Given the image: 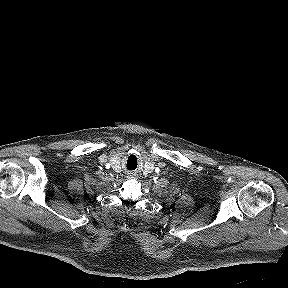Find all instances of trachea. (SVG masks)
Segmentation results:
<instances>
[{
    "instance_id": "3493384b",
    "label": "trachea",
    "mask_w": 288,
    "mask_h": 288,
    "mask_svg": "<svg viewBox=\"0 0 288 288\" xmlns=\"http://www.w3.org/2000/svg\"><path fill=\"white\" fill-rule=\"evenodd\" d=\"M127 167L129 169H135L137 167V157H136V155L132 154V155H130L128 157Z\"/></svg>"
}]
</instances>
